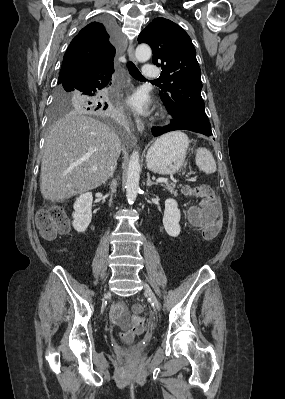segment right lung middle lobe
<instances>
[{"instance_id": "dd1d6c3e", "label": "right lung middle lobe", "mask_w": 285, "mask_h": 399, "mask_svg": "<svg viewBox=\"0 0 285 399\" xmlns=\"http://www.w3.org/2000/svg\"><path fill=\"white\" fill-rule=\"evenodd\" d=\"M102 94V91H101ZM99 94L96 97H90L81 90L74 88L72 85L61 84L55 91L54 102L51 113V123L61 115L73 111L77 112H95L97 114H110L112 111L108 106L95 105L96 99L101 97Z\"/></svg>"}]
</instances>
